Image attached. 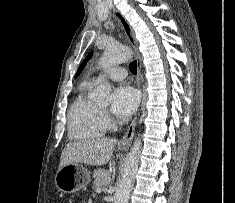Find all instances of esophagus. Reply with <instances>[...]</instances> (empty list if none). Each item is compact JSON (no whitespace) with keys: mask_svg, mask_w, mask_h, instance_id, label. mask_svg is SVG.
Instances as JSON below:
<instances>
[{"mask_svg":"<svg viewBox=\"0 0 235 203\" xmlns=\"http://www.w3.org/2000/svg\"><path fill=\"white\" fill-rule=\"evenodd\" d=\"M114 14H115L116 18L118 19V21L120 22L127 39L129 40L130 44L132 45V47L135 51L136 59H137V71H138L137 84H138V87L142 93V89H141V58H140V54L138 52V44H137V40L135 38L134 31H133L132 27L130 26L129 22L126 20V18L118 10H114ZM136 122H137V117H135L132 120V122L130 123L125 135L119 141V145H121V146H130L131 145L133 137H134Z\"/></svg>","mask_w":235,"mask_h":203,"instance_id":"34e87169","label":"esophagus"}]
</instances>
